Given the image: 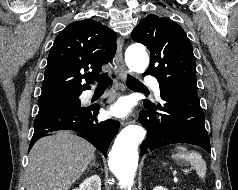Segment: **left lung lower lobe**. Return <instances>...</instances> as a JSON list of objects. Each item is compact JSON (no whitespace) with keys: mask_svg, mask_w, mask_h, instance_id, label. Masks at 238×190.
Masks as SVG:
<instances>
[{"mask_svg":"<svg viewBox=\"0 0 238 190\" xmlns=\"http://www.w3.org/2000/svg\"><path fill=\"white\" fill-rule=\"evenodd\" d=\"M160 96L161 104L145 100L146 110L140 112L139 121L148 130L140 146L141 154L175 143L197 145L210 152L198 95L161 90Z\"/></svg>","mask_w":238,"mask_h":190,"instance_id":"0a47b994","label":"left lung lower lobe"}]
</instances>
